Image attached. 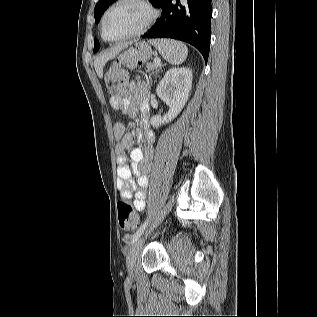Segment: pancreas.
<instances>
[{
	"instance_id": "1",
	"label": "pancreas",
	"mask_w": 317,
	"mask_h": 317,
	"mask_svg": "<svg viewBox=\"0 0 317 317\" xmlns=\"http://www.w3.org/2000/svg\"><path fill=\"white\" fill-rule=\"evenodd\" d=\"M147 71L154 73V71H157V65L154 61H149L146 65Z\"/></svg>"
}]
</instances>
